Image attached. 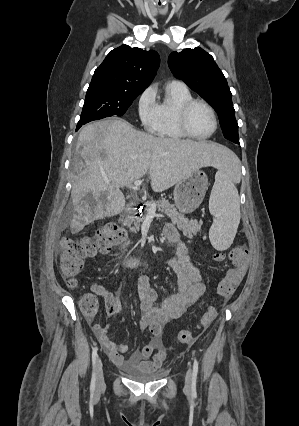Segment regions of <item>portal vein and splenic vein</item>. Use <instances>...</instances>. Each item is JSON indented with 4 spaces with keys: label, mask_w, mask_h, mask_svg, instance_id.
Returning <instances> with one entry per match:
<instances>
[{
    "label": "portal vein and splenic vein",
    "mask_w": 299,
    "mask_h": 426,
    "mask_svg": "<svg viewBox=\"0 0 299 426\" xmlns=\"http://www.w3.org/2000/svg\"><path fill=\"white\" fill-rule=\"evenodd\" d=\"M142 184V181L141 180H136V181H134V183H133V188H137V187H139L140 185ZM155 212H156V206L155 205H152L151 206V208L149 209V213L150 214H152V215H155Z\"/></svg>",
    "instance_id": "1"
}]
</instances>
